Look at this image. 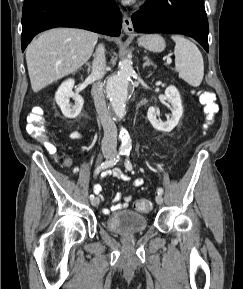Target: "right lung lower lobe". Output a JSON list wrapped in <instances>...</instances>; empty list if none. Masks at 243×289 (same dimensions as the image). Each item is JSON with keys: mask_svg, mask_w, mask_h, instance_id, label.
Instances as JSON below:
<instances>
[{"mask_svg": "<svg viewBox=\"0 0 243 289\" xmlns=\"http://www.w3.org/2000/svg\"><path fill=\"white\" fill-rule=\"evenodd\" d=\"M120 10L114 0H24L21 47L25 50L39 32L76 27L119 36Z\"/></svg>", "mask_w": 243, "mask_h": 289, "instance_id": "right-lung-lower-lobe-1", "label": "right lung lower lobe"}]
</instances>
